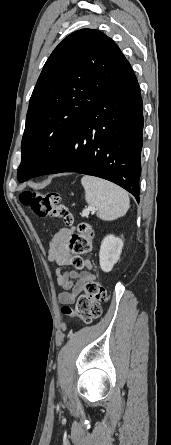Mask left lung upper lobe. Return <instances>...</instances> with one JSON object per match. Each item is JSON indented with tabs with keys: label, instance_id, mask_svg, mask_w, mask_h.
<instances>
[{
	"label": "left lung upper lobe",
	"instance_id": "obj_1",
	"mask_svg": "<svg viewBox=\"0 0 171 445\" xmlns=\"http://www.w3.org/2000/svg\"><path fill=\"white\" fill-rule=\"evenodd\" d=\"M132 74L119 47L98 30L81 29L62 40L30 98L18 181L30 179L45 166L79 118Z\"/></svg>",
	"mask_w": 171,
	"mask_h": 445
}]
</instances>
